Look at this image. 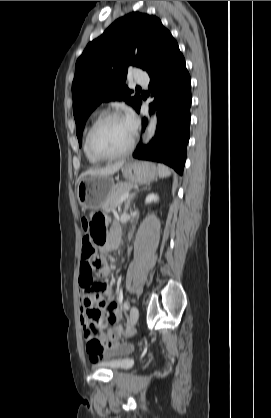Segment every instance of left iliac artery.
Listing matches in <instances>:
<instances>
[{
    "instance_id": "left-iliac-artery-1",
    "label": "left iliac artery",
    "mask_w": 271,
    "mask_h": 418,
    "mask_svg": "<svg viewBox=\"0 0 271 418\" xmlns=\"http://www.w3.org/2000/svg\"><path fill=\"white\" fill-rule=\"evenodd\" d=\"M123 307H124L125 310H129L130 305H129L128 302H124Z\"/></svg>"
}]
</instances>
